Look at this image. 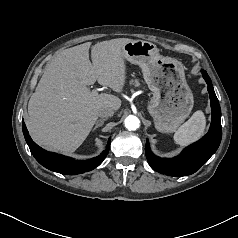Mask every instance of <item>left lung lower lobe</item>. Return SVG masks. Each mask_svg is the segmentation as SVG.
<instances>
[{
    "mask_svg": "<svg viewBox=\"0 0 238 238\" xmlns=\"http://www.w3.org/2000/svg\"><path fill=\"white\" fill-rule=\"evenodd\" d=\"M210 95L212 122L209 132L196 143L186 147L182 153L174 158H160L155 156L149 147L147 139L145 146L146 158L155 171L169 176H186L195 173L218 149L221 137V109L207 72L202 70Z\"/></svg>",
    "mask_w": 238,
    "mask_h": 238,
    "instance_id": "obj_1",
    "label": "left lung lower lobe"
}]
</instances>
